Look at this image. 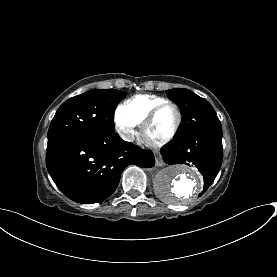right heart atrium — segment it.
I'll list each match as a JSON object with an SVG mask.
<instances>
[{
    "label": "right heart atrium",
    "mask_w": 277,
    "mask_h": 277,
    "mask_svg": "<svg viewBox=\"0 0 277 277\" xmlns=\"http://www.w3.org/2000/svg\"><path fill=\"white\" fill-rule=\"evenodd\" d=\"M137 123L130 117L117 114L116 127L120 136L125 140H131L135 135Z\"/></svg>",
    "instance_id": "1"
}]
</instances>
